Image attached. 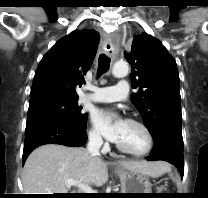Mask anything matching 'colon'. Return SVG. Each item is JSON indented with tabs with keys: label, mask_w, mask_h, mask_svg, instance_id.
<instances>
[{
	"label": "colon",
	"mask_w": 208,
	"mask_h": 198,
	"mask_svg": "<svg viewBox=\"0 0 208 198\" xmlns=\"http://www.w3.org/2000/svg\"><path fill=\"white\" fill-rule=\"evenodd\" d=\"M163 189H165V188H163V187H162V188H160V190H163Z\"/></svg>",
	"instance_id": "5ec220e1"
}]
</instances>
